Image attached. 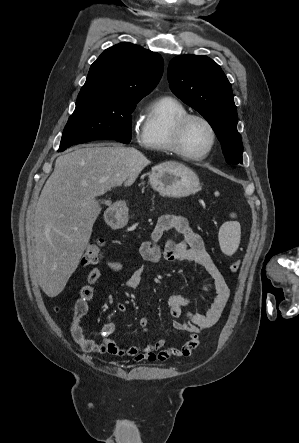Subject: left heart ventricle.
I'll use <instances>...</instances> for the list:
<instances>
[{"label": "left heart ventricle", "instance_id": "1", "mask_svg": "<svg viewBox=\"0 0 299 443\" xmlns=\"http://www.w3.org/2000/svg\"><path fill=\"white\" fill-rule=\"evenodd\" d=\"M211 136L207 126L198 119L188 122L183 134V147L190 154H201L210 145Z\"/></svg>", "mask_w": 299, "mask_h": 443}]
</instances>
